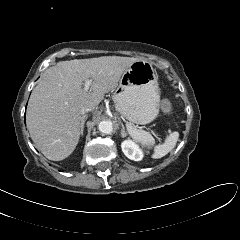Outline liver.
Returning a JSON list of instances; mask_svg holds the SVG:
<instances>
[{
	"label": "liver",
	"mask_w": 240,
	"mask_h": 240,
	"mask_svg": "<svg viewBox=\"0 0 240 240\" xmlns=\"http://www.w3.org/2000/svg\"><path fill=\"white\" fill-rule=\"evenodd\" d=\"M137 60L120 56L74 59L44 72L31 94L26 119L32 141L46 158L60 161L72 154L81 135V109L94 110ZM87 79L92 84L85 92Z\"/></svg>",
	"instance_id": "1"
}]
</instances>
